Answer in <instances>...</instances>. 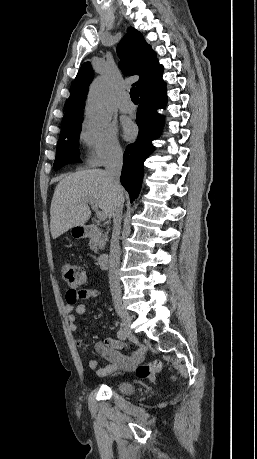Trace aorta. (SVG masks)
Segmentation results:
<instances>
[{
	"label": "aorta",
	"mask_w": 257,
	"mask_h": 459,
	"mask_svg": "<svg viewBox=\"0 0 257 459\" xmlns=\"http://www.w3.org/2000/svg\"><path fill=\"white\" fill-rule=\"evenodd\" d=\"M112 86L107 78L96 79L89 91L86 115L97 126L108 124L111 119Z\"/></svg>",
	"instance_id": "obj_1"
}]
</instances>
